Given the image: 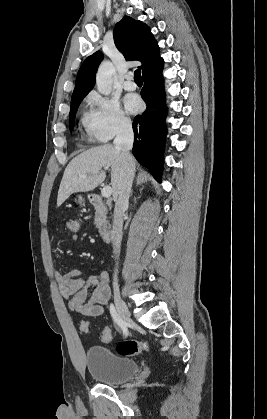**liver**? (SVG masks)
Masks as SVG:
<instances>
[{"label":"liver","instance_id":"obj_1","mask_svg":"<svg viewBox=\"0 0 267 419\" xmlns=\"http://www.w3.org/2000/svg\"><path fill=\"white\" fill-rule=\"evenodd\" d=\"M109 167H111L112 194L116 199L123 174V162L120 151L115 146L104 144L82 152L69 162L60 183L57 206H61L73 193L94 190L106 178L102 168L106 170ZM83 175L86 177L83 178Z\"/></svg>","mask_w":267,"mask_h":419}]
</instances>
